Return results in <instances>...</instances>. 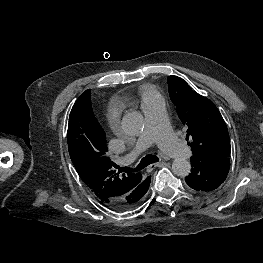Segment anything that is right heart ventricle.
Instances as JSON below:
<instances>
[{
    "label": "right heart ventricle",
    "mask_w": 263,
    "mask_h": 263,
    "mask_svg": "<svg viewBox=\"0 0 263 263\" xmlns=\"http://www.w3.org/2000/svg\"><path fill=\"white\" fill-rule=\"evenodd\" d=\"M139 95H140V99H141V102L143 105L147 102H150V101L156 99V98H159L156 89L152 86L143 87L140 90Z\"/></svg>",
    "instance_id": "right-heart-ventricle-1"
}]
</instances>
